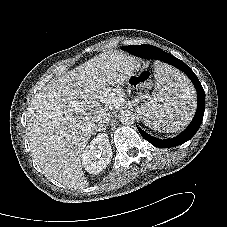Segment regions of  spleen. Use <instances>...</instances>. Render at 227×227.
Returning <instances> with one entry per match:
<instances>
[{"mask_svg": "<svg viewBox=\"0 0 227 227\" xmlns=\"http://www.w3.org/2000/svg\"><path fill=\"white\" fill-rule=\"evenodd\" d=\"M155 91L138 109L144 124L154 130L176 132L186 126L194 113L195 97L188 79L176 70L158 65Z\"/></svg>", "mask_w": 227, "mask_h": 227, "instance_id": "spleen-1", "label": "spleen"}]
</instances>
